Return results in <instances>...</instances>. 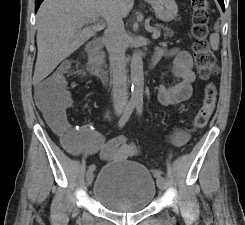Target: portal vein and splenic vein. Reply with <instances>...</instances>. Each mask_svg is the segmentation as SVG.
<instances>
[{"label": "portal vein and splenic vein", "instance_id": "18ae733b", "mask_svg": "<svg viewBox=\"0 0 245 225\" xmlns=\"http://www.w3.org/2000/svg\"><path fill=\"white\" fill-rule=\"evenodd\" d=\"M97 20V19H94V21ZM88 22H91V21H87L86 23ZM160 37V30H157V29H154L153 30V35H152V38L153 39H158Z\"/></svg>", "mask_w": 245, "mask_h": 225}]
</instances>
